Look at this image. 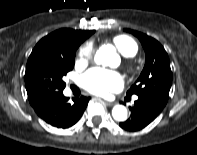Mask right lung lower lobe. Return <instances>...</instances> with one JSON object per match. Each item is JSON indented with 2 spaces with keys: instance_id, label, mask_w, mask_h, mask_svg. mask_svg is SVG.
Instances as JSON below:
<instances>
[{
  "instance_id": "98d812e1",
  "label": "right lung lower lobe",
  "mask_w": 197,
  "mask_h": 155,
  "mask_svg": "<svg viewBox=\"0 0 197 155\" xmlns=\"http://www.w3.org/2000/svg\"><path fill=\"white\" fill-rule=\"evenodd\" d=\"M62 94L54 98L38 115L48 124L57 128H68L82 116L89 97L73 98V102Z\"/></svg>"
}]
</instances>
